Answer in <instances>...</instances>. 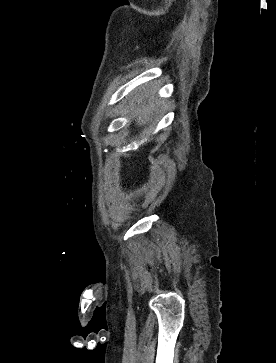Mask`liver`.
Wrapping results in <instances>:
<instances>
[{"mask_svg":"<svg viewBox=\"0 0 276 363\" xmlns=\"http://www.w3.org/2000/svg\"><path fill=\"white\" fill-rule=\"evenodd\" d=\"M156 93L157 88L150 84L134 91L129 109L132 116L137 117V125L150 122L159 112L162 102L156 98Z\"/></svg>","mask_w":276,"mask_h":363,"instance_id":"1","label":"liver"}]
</instances>
